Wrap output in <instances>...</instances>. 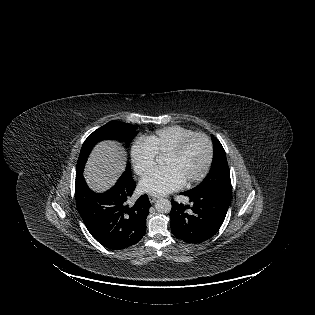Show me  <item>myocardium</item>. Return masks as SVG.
Masks as SVG:
<instances>
[{
  "label": "myocardium",
  "instance_id": "myocardium-1",
  "mask_svg": "<svg viewBox=\"0 0 315 315\" xmlns=\"http://www.w3.org/2000/svg\"><path fill=\"white\" fill-rule=\"evenodd\" d=\"M196 138H202L205 140L207 144V158L205 165L202 171L193 178H190L186 181V184L191 185L194 183H198L202 181L209 173L214 156L213 143L211 139L204 133H194L190 136L185 137L181 141H179L174 147H172L169 151L165 153L166 156H178L183 153L185 148L188 146L190 142H192Z\"/></svg>",
  "mask_w": 315,
  "mask_h": 315
}]
</instances>
